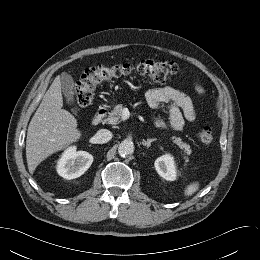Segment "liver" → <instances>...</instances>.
I'll use <instances>...</instances> for the list:
<instances>
[{"mask_svg": "<svg viewBox=\"0 0 260 260\" xmlns=\"http://www.w3.org/2000/svg\"><path fill=\"white\" fill-rule=\"evenodd\" d=\"M62 107L61 78L57 76L28 126L26 158L31 174L47 157L68 147L82 136L76 118Z\"/></svg>", "mask_w": 260, "mask_h": 260, "instance_id": "1", "label": "liver"}]
</instances>
